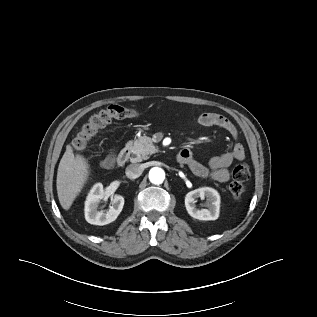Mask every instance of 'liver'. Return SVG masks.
<instances>
[{
  "label": "liver",
  "instance_id": "liver-1",
  "mask_svg": "<svg viewBox=\"0 0 317 317\" xmlns=\"http://www.w3.org/2000/svg\"><path fill=\"white\" fill-rule=\"evenodd\" d=\"M89 176V164L81 155L74 156L67 146L57 171V194L63 209L68 210Z\"/></svg>",
  "mask_w": 317,
  "mask_h": 317
}]
</instances>
